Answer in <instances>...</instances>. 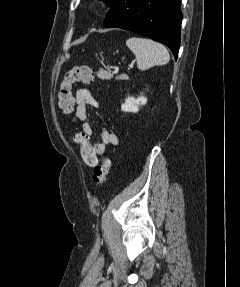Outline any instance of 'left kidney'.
Returning <instances> with one entry per match:
<instances>
[{"label":"left kidney","mask_w":240,"mask_h":287,"mask_svg":"<svg viewBox=\"0 0 240 287\" xmlns=\"http://www.w3.org/2000/svg\"><path fill=\"white\" fill-rule=\"evenodd\" d=\"M147 103V98L140 96L138 98L128 97L125 103L121 105V110L123 112L137 113L139 111V106L145 105Z\"/></svg>","instance_id":"5707ae66"}]
</instances>
